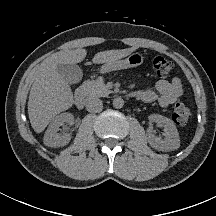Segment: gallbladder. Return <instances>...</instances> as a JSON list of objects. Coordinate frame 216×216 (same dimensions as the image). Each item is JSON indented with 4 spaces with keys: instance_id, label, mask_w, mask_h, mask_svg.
Segmentation results:
<instances>
[{
    "instance_id": "1",
    "label": "gallbladder",
    "mask_w": 216,
    "mask_h": 216,
    "mask_svg": "<svg viewBox=\"0 0 216 216\" xmlns=\"http://www.w3.org/2000/svg\"><path fill=\"white\" fill-rule=\"evenodd\" d=\"M57 72L70 84H76L81 81L83 72L76 64H58Z\"/></svg>"
}]
</instances>
